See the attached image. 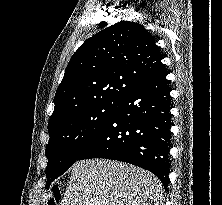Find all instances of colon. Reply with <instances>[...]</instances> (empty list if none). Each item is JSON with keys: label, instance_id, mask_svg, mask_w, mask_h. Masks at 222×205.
<instances>
[{"label": "colon", "instance_id": "colon-1", "mask_svg": "<svg viewBox=\"0 0 222 205\" xmlns=\"http://www.w3.org/2000/svg\"><path fill=\"white\" fill-rule=\"evenodd\" d=\"M59 199L60 190L59 188H55L53 196L46 201L45 205H57Z\"/></svg>", "mask_w": 222, "mask_h": 205}]
</instances>
